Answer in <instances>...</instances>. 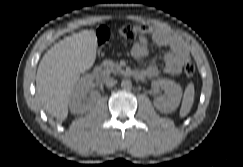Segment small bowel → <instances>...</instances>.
Returning a JSON list of instances; mask_svg holds the SVG:
<instances>
[{
	"label": "small bowel",
	"instance_id": "1",
	"mask_svg": "<svg viewBox=\"0 0 243 167\" xmlns=\"http://www.w3.org/2000/svg\"><path fill=\"white\" fill-rule=\"evenodd\" d=\"M152 39L155 44L167 47L168 51L163 57V65H150L136 73L138 78L155 77L162 70L165 74L175 75L181 72L183 65L189 59L187 46L179 38L171 35L169 32L155 28L152 33ZM148 41L146 38L138 39L132 46L131 54L137 59H143L147 54Z\"/></svg>",
	"mask_w": 243,
	"mask_h": 167
}]
</instances>
